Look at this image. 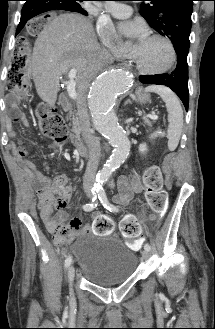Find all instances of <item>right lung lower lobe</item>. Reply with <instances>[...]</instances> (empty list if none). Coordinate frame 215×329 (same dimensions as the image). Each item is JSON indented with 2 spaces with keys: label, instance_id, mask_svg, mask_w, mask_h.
<instances>
[{
  "label": "right lung lower lobe",
  "instance_id": "obj_1",
  "mask_svg": "<svg viewBox=\"0 0 215 329\" xmlns=\"http://www.w3.org/2000/svg\"><path fill=\"white\" fill-rule=\"evenodd\" d=\"M25 4L21 11L20 23L16 30V35L22 30L25 23L36 15L49 10L58 9L72 12H78L88 15L85 10H75L67 0H25Z\"/></svg>",
  "mask_w": 215,
  "mask_h": 329
}]
</instances>
